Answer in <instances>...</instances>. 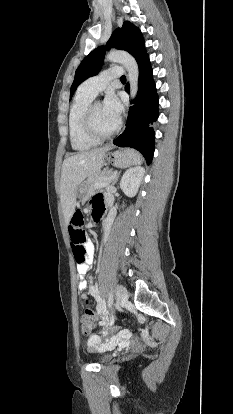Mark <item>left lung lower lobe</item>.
I'll return each mask as SVG.
<instances>
[{
    "mask_svg": "<svg viewBox=\"0 0 233 414\" xmlns=\"http://www.w3.org/2000/svg\"><path fill=\"white\" fill-rule=\"evenodd\" d=\"M138 66L139 88L134 100L135 105L130 108L126 129L113 143L120 147L138 150L150 165L155 149V132L151 125L159 116V98L152 77L149 56L138 63ZM125 90L129 92L128 84Z\"/></svg>",
    "mask_w": 233,
    "mask_h": 414,
    "instance_id": "0a47b994",
    "label": "left lung lower lobe"
}]
</instances>
